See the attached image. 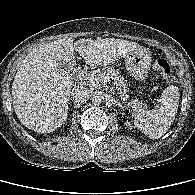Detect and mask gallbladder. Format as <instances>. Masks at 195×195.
<instances>
[{"label":"gallbladder","instance_id":"bac80fb5","mask_svg":"<svg viewBox=\"0 0 195 195\" xmlns=\"http://www.w3.org/2000/svg\"><path fill=\"white\" fill-rule=\"evenodd\" d=\"M61 65L65 68H67L70 72L76 71V64L75 63H61Z\"/></svg>","mask_w":195,"mask_h":195}]
</instances>
